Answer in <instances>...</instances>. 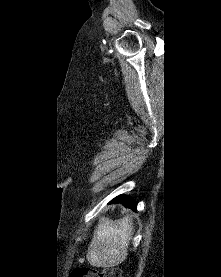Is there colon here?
Wrapping results in <instances>:
<instances>
[{"mask_svg":"<svg viewBox=\"0 0 221 277\" xmlns=\"http://www.w3.org/2000/svg\"><path fill=\"white\" fill-rule=\"evenodd\" d=\"M71 277H122V272L118 268H108L103 271H97L88 267L76 268Z\"/></svg>","mask_w":221,"mask_h":277,"instance_id":"1","label":"colon"}]
</instances>
